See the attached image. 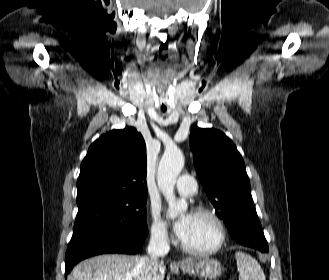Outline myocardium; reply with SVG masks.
<instances>
[{
    "mask_svg": "<svg viewBox=\"0 0 329 280\" xmlns=\"http://www.w3.org/2000/svg\"><path fill=\"white\" fill-rule=\"evenodd\" d=\"M193 214L204 216L213 222L217 229V240L212 246L202 249L192 248L181 240L180 244L182 249L188 254L195 256H208L217 253L223 247L226 241L227 233L224 222L216 212L206 207H196L193 210Z\"/></svg>",
    "mask_w": 329,
    "mask_h": 280,
    "instance_id": "1",
    "label": "myocardium"
}]
</instances>
